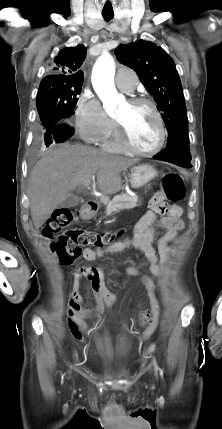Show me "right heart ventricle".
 <instances>
[{
  "label": "right heart ventricle",
  "mask_w": 222,
  "mask_h": 429,
  "mask_svg": "<svg viewBox=\"0 0 222 429\" xmlns=\"http://www.w3.org/2000/svg\"><path fill=\"white\" fill-rule=\"evenodd\" d=\"M103 148L110 152H120L124 149L117 132L113 131L111 136L104 140Z\"/></svg>",
  "instance_id": "obj_1"
}]
</instances>
